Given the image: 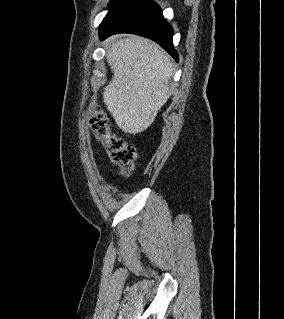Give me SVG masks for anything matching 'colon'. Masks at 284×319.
I'll return each mask as SVG.
<instances>
[{
    "label": "colon",
    "instance_id": "obj_1",
    "mask_svg": "<svg viewBox=\"0 0 284 319\" xmlns=\"http://www.w3.org/2000/svg\"><path fill=\"white\" fill-rule=\"evenodd\" d=\"M89 125L95 138L105 147L111 163L119 169L121 174L126 176L131 174L137 157L135 146L114 134L105 116H91Z\"/></svg>",
    "mask_w": 284,
    "mask_h": 319
}]
</instances>
